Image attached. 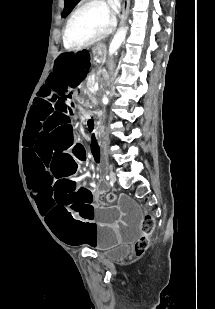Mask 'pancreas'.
I'll return each mask as SVG.
<instances>
[{
    "label": "pancreas",
    "instance_id": "pancreas-1",
    "mask_svg": "<svg viewBox=\"0 0 215 309\" xmlns=\"http://www.w3.org/2000/svg\"><path fill=\"white\" fill-rule=\"evenodd\" d=\"M94 84H96V80H92V78H88L87 88H89V90H94ZM91 100L92 102H94V104H96L97 98H95V92H93V96H91Z\"/></svg>",
    "mask_w": 215,
    "mask_h": 309
}]
</instances>
